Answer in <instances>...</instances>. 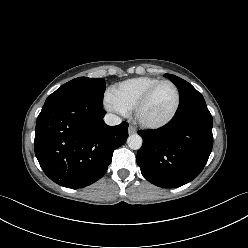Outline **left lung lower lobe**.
Segmentation results:
<instances>
[{"instance_id":"1","label":"left lung lower lobe","mask_w":248,"mask_h":248,"mask_svg":"<svg viewBox=\"0 0 248 248\" xmlns=\"http://www.w3.org/2000/svg\"><path fill=\"white\" fill-rule=\"evenodd\" d=\"M212 116L205 102L176 113L157 130L139 131L143 145L137 153L142 175L163 188L180 187L203 170L213 146Z\"/></svg>"}]
</instances>
